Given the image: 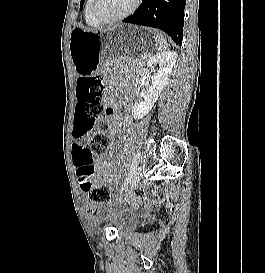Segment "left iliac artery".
Here are the masks:
<instances>
[{"mask_svg":"<svg viewBox=\"0 0 265 273\" xmlns=\"http://www.w3.org/2000/svg\"><path fill=\"white\" fill-rule=\"evenodd\" d=\"M138 159H139V154L137 155L136 159L133 161L132 166L129 170L128 175L125 178V181L122 185L121 191H123V189L128 185V183L131 181L132 175L135 172L137 165H138Z\"/></svg>","mask_w":265,"mask_h":273,"instance_id":"44dca946","label":"left iliac artery"}]
</instances>
